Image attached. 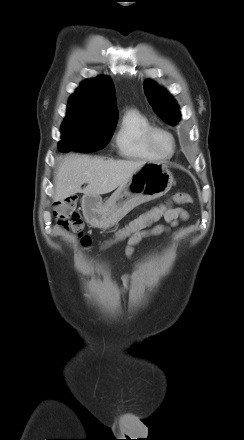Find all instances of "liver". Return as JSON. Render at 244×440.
Returning <instances> with one entry per match:
<instances>
[{"label":"liver","instance_id":"obj_1","mask_svg":"<svg viewBox=\"0 0 244 440\" xmlns=\"http://www.w3.org/2000/svg\"><path fill=\"white\" fill-rule=\"evenodd\" d=\"M146 162L141 160H104L72 154L63 158L54 177L55 200L76 193L99 196L123 185ZM87 183L86 188L81 186Z\"/></svg>","mask_w":244,"mask_h":440}]
</instances>
